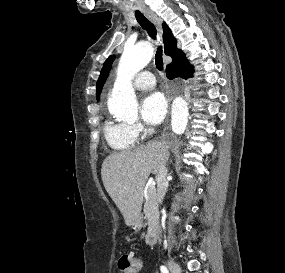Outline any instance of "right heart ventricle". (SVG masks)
<instances>
[{
	"label": "right heart ventricle",
	"mask_w": 285,
	"mask_h": 273,
	"mask_svg": "<svg viewBox=\"0 0 285 273\" xmlns=\"http://www.w3.org/2000/svg\"><path fill=\"white\" fill-rule=\"evenodd\" d=\"M103 134L107 144L115 151H127L137 143V135L131 126L124 122L107 120L103 126Z\"/></svg>",
	"instance_id": "1"
}]
</instances>
